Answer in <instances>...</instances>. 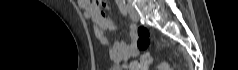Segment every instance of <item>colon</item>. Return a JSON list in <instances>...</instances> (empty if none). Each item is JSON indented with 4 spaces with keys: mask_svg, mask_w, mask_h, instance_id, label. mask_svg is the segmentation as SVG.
<instances>
[{
    "mask_svg": "<svg viewBox=\"0 0 238 70\" xmlns=\"http://www.w3.org/2000/svg\"><path fill=\"white\" fill-rule=\"evenodd\" d=\"M91 2L99 3L98 0H91ZM151 32L145 28L140 27L137 29V46L139 50H145L150 44ZM149 67V58L144 56L141 61L132 63V70H147ZM156 70H171L170 63H157Z\"/></svg>",
    "mask_w": 238,
    "mask_h": 70,
    "instance_id": "5ec220e1",
    "label": "colon"
}]
</instances>
